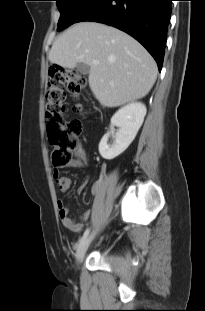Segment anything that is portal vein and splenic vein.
Returning a JSON list of instances; mask_svg holds the SVG:
<instances>
[{
    "label": "portal vein and splenic vein",
    "mask_w": 205,
    "mask_h": 311,
    "mask_svg": "<svg viewBox=\"0 0 205 311\" xmlns=\"http://www.w3.org/2000/svg\"><path fill=\"white\" fill-rule=\"evenodd\" d=\"M92 63L96 65V64H99V61L98 60H93Z\"/></svg>",
    "instance_id": "obj_1"
}]
</instances>
